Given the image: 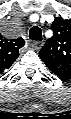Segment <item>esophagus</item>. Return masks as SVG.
I'll use <instances>...</instances> for the list:
<instances>
[{
	"instance_id": "obj_1",
	"label": "esophagus",
	"mask_w": 71,
	"mask_h": 119,
	"mask_svg": "<svg viewBox=\"0 0 71 119\" xmlns=\"http://www.w3.org/2000/svg\"><path fill=\"white\" fill-rule=\"evenodd\" d=\"M43 44L44 43L42 41H34V42L31 43V47H32L33 50L38 51L42 48Z\"/></svg>"
}]
</instances>
